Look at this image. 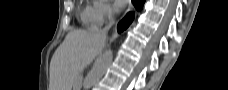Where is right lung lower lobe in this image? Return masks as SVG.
<instances>
[{
	"label": "right lung lower lobe",
	"mask_w": 228,
	"mask_h": 90,
	"mask_svg": "<svg viewBox=\"0 0 228 90\" xmlns=\"http://www.w3.org/2000/svg\"><path fill=\"white\" fill-rule=\"evenodd\" d=\"M132 2L137 10H141L145 0H132ZM133 19H134V14L132 12L128 13L126 17L118 24V32H121L124 29H126L133 21Z\"/></svg>",
	"instance_id": "obj_1"
}]
</instances>
